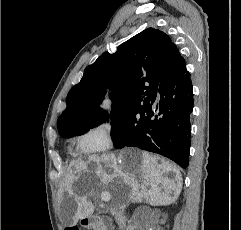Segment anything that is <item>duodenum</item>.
<instances>
[{"label": "duodenum", "instance_id": "410a0bca", "mask_svg": "<svg viewBox=\"0 0 241 230\" xmlns=\"http://www.w3.org/2000/svg\"><path fill=\"white\" fill-rule=\"evenodd\" d=\"M81 223L87 228H100L102 225V221L96 216L84 217Z\"/></svg>", "mask_w": 241, "mask_h": 230}]
</instances>
